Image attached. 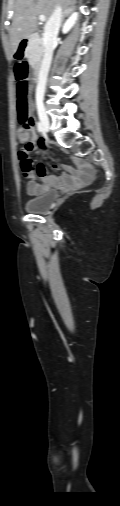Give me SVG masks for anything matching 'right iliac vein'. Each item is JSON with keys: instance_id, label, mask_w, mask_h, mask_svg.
Returning <instances> with one entry per match:
<instances>
[{"instance_id": "1", "label": "right iliac vein", "mask_w": 120, "mask_h": 506, "mask_svg": "<svg viewBox=\"0 0 120 506\" xmlns=\"http://www.w3.org/2000/svg\"><path fill=\"white\" fill-rule=\"evenodd\" d=\"M38 115H39L43 130L45 132L49 131V128H50L49 118H48L45 110L41 106L38 107Z\"/></svg>"}]
</instances>
